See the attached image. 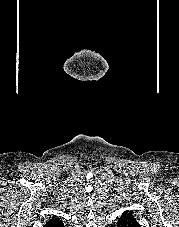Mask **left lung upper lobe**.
Listing matches in <instances>:
<instances>
[{"mask_svg": "<svg viewBox=\"0 0 179 227\" xmlns=\"http://www.w3.org/2000/svg\"><path fill=\"white\" fill-rule=\"evenodd\" d=\"M118 225L121 227H135L139 224L137 223L131 211H124L118 221Z\"/></svg>", "mask_w": 179, "mask_h": 227, "instance_id": "left-lung-upper-lobe-1", "label": "left lung upper lobe"}]
</instances>
